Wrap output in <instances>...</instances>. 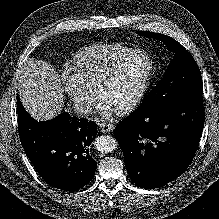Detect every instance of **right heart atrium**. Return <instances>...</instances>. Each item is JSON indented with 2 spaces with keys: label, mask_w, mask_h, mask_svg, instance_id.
Segmentation results:
<instances>
[{
  "label": "right heart atrium",
  "mask_w": 219,
  "mask_h": 219,
  "mask_svg": "<svg viewBox=\"0 0 219 219\" xmlns=\"http://www.w3.org/2000/svg\"><path fill=\"white\" fill-rule=\"evenodd\" d=\"M63 91L70 97L78 113L86 115L92 110L96 91L84 83L74 72L65 73L60 80Z\"/></svg>",
  "instance_id": "1"
}]
</instances>
